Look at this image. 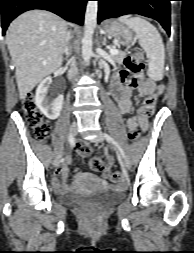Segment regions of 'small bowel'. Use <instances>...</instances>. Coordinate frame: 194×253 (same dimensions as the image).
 Here are the masks:
<instances>
[{"label": "small bowel", "instance_id": "small-bowel-1", "mask_svg": "<svg viewBox=\"0 0 194 253\" xmlns=\"http://www.w3.org/2000/svg\"><path fill=\"white\" fill-rule=\"evenodd\" d=\"M136 89L139 97L151 98L156 97L163 91V86L157 85L151 79H145L141 76H129L126 71L120 72L118 77L112 82L111 90L112 94L117 101V106L122 114H128L131 112L134 105V98L132 96V91ZM149 115L141 114L139 111L136 115L128 118L126 125L130 130L140 128L143 132L148 129ZM70 159L67 158L66 161L55 171L53 175V184L57 191L64 192L68 189L66 179L68 175V165ZM114 165V157L112 155L106 156V165L103 169V176L108 177V173Z\"/></svg>", "mask_w": 194, "mask_h": 253}]
</instances>
